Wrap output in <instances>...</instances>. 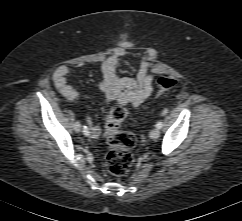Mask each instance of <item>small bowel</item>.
<instances>
[{
	"label": "small bowel",
	"mask_w": 242,
	"mask_h": 221,
	"mask_svg": "<svg viewBox=\"0 0 242 221\" xmlns=\"http://www.w3.org/2000/svg\"><path fill=\"white\" fill-rule=\"evenodd\" d=\"M125 54V49L119 47L101 65L103 75L100 90L108 103H122L139 109L153 92V75L149 73V59L144 58L138 67L134 78L120 76L117 72L118 60ZM80 64L75 68H80ZM70 67L60 66L53 75V80L60 94L69 101L78 98V92L68 83ZM92 137H98L101 130L87 117Z\"/></svg>",
	"instance_id": "c3829d8e"
}]
</instances>
